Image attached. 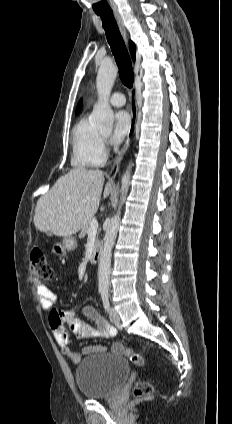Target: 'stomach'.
Listing matches in <instances>:
<instances>
[{
	"label": "stomach",
	"mask_w": 232,
	"mask_h": 424,
	"mask_svg": "<svg viewBox=\"0 0 232 424\" xmlns=\"http://www.w3.org/2000/svg\"><path fill=\"white\" fill-rule=\"evenodd\" d=\"M77 241L75 237H64L61 242L55 243L52 247V252L58 256H65L68 252L75 250Z\"/></svg>",
	"instance_id": "obj_1"
}]
</instances>
